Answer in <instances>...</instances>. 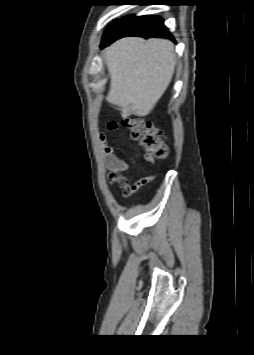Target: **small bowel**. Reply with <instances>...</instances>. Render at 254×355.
<instances>
[{
    "label": "small bowel",
    "instance_id": "small-bowel-1",
    "mask_svg": "<svg viewBox=\"0 0 254 355\" xmlns=\"http://www.w3.org/2000/svg\"><path fill=\"white\" fill-rule=\"evenodd\" d=\"M110 123H113L110 126ZM120 123L116 121H111L108 123V129L110 131H115L120 127ZM99 141L102 148L103 157L105 160V165L109 171L108 181L109 183H117L123 190L124 197H130L137 189L142 185L151 182L155 179V176H147L142 179L137 180L134 183L130 182V179L126 176H123L121 173L127 171L130 168V163L123 159L116 153V149L113 145H110L104 133L99 135ZM121 152H128L126 147L120 148ZM146 160L150 163H154L153 158H147Z\"/></svg>",
    "mask_w": 254,
    "mask_h": 355
}]
</instances>
